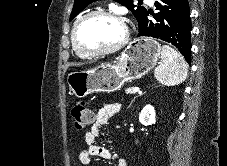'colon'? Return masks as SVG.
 Returning <instances> with one entry per match:
<instances>
[{"label": "colon", "instance_id": "colon-1", "mask_svg": "<svg viewBox=\"0 0 227 166\" xmlns=\"http://www.w3.org/2000/svg\"><path fill=\"white\" fill-rule=\"evenodd\" d=\"M73 123L76 129L82 130L92 123L94 115L84 100L77 101L71 111Z\"/></svg>", "mask_w": 227, "mask_h": 166}]
</instances>
